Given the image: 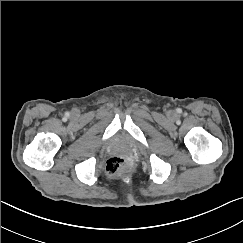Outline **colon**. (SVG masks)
<instances>
[{
	"label": "colon",
	"mask_w": 243,
	"mask_h": 243,
	"mask_svg": "<svg viewBox=\"0 0 243 243\" xmlns=\"http://www.w3.org/2000/svg\"><path fill=\"white\" fill-rule=\"evenodd\" d=\"M131 167V162L128 158L123 156H115L108 160L106 170L109 176H118Z\"/></svg>",
	"instance_id": "colon-1"
}]
</instances>
